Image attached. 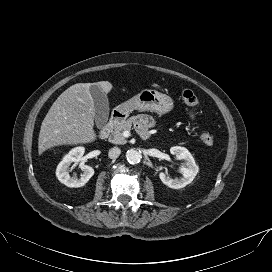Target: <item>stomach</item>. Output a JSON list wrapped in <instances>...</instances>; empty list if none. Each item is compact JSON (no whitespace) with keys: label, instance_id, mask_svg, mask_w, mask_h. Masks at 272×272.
<instances>
[{"label":"stomach","instance_id":"obj_1","mask_svg":"<svg viewBox=\"0 0 272 272\" xmlns=\"http://www.w3.org/2000/svg\"><path fill=\"white\" fill-rule=\"evenodd\" d=\"M124 115L133 110L152 111L166 114L173 110L174 102L171 97L153 89H142L137 95L118 107Z\"/></svg>","mask_w":272,"mask_h":272}]
</instances>
